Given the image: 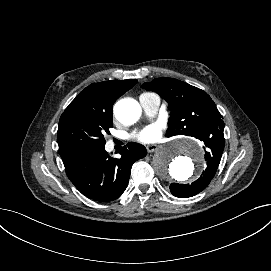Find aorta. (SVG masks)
Segmentation results:
<instances>
[{"label":"aorta","mask_w":271,"mask_h":271,"mask_svg":"<svg viewBox=\"0 0 271 271\" xmlns=\"http://www.w3.org/2000/svg\"><path fill=\"white\" fill-rule=\"evenodd\" d=\"M114 114L119 122L130 125L140 118L141 106L133 99H122L115 104ZM204 162V154L194 142L178 140L155 153L153 168L163 179L183 182L191 179Z\"/></svg>","instance_id":"obj_1"}]
</instances>
